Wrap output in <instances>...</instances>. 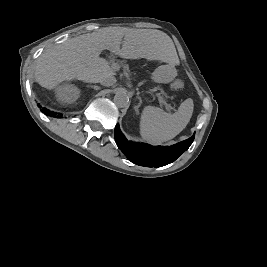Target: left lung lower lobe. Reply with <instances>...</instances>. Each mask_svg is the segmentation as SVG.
Listing matches in <instances>:
<instances>
[{"mask_svg":"<svg viewBox=\"0 0 267 267\" xmlns=\"http://www.w3.org/2000/svg\"><path fill=\"white\" fill-rule=\"evenodd\" d=\"M194 136L172 147H152L146 144L130 143L121 133L119 126L115 127V141L118 148L133 163L160 167L175 161L193 142Z\"/></svg>","mask_w":267,"mask_h":267,"instance_id":"left-lung-lower-lobe-1","label":"left lung lower lobe"}]
</instances>
